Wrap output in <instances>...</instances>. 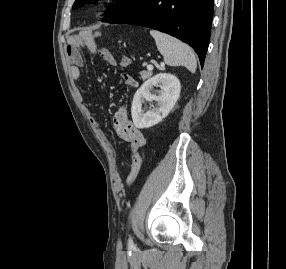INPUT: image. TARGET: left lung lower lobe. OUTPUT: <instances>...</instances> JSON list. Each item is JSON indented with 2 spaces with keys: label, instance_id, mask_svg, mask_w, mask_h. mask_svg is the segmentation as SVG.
Returning a JSON list of instances; mask_svg holds the SVG:
<instances>
[{
  "label": "left lung lower lobe",
  "instance_id": "obj_1",
  "mask_svg": "<svg viewBox=\"0 0 286 269\" xmlns=\"http://www.w3.org/2000/svg\"><path fill=\"white\" fill-rule=\"evenodd\" d=\"M214 0H147L118 24H133L172 35L189 44L201 66L208 49Z\"/></svg>",
  "mask_w": 286,
  "mask_h": 269
}]
</instances>
